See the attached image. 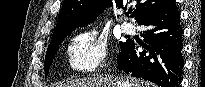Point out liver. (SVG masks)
Segmentation results:
<instances>
[{
    "mask_svg": "<svg viewBox=\"0 0 205 87\" xmlns=\"http://www.w3.org/2000/svg\"><path fill=\"white\" fill-rule=\"evenodd\" d=\"M56 87H155L149 82L124 77L114 78L111 76L97 75L93 78H81L64 84H58Z\"/></svg>",
    "mask_w": 205,
    "mask_h": 87,
    "instance_id": "6515ba94",
    "label": "liver"
}]
</instances>
